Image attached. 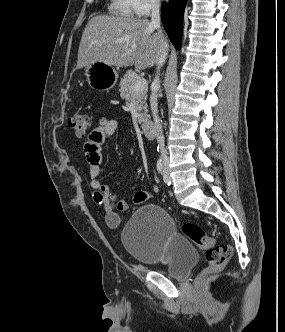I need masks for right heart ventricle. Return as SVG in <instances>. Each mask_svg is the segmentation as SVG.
Instances as JSON below:
<instances>
[{"label": "right heart ventricle", "instance_id": "obj_1", "mask_svg": "<svg viewBox=\"0 0 285 332\" xmlns=\"http://www.w3.org/2000/svg\"><path fill=\"white\" fill-rule=\"evenodd\" d=\"M108 10L110 14L124 18H131L135 13L131 0H110Z\"/></svg>", "mask_w": 285, "mask_h": 332}]
</instances>
